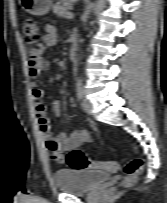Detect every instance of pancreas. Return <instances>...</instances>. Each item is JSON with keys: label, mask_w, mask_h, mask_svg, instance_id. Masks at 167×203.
I'll return each instance as SVG.
<instances>
[{"label": "pancreas", "mask_w": 167, "mask_h": 203, "mask_svg": "<svg viewBox=\"0 0 167 203\" xmlns=\"http://www.w3.org/2000/svg\"><path fill=\"white\" fill-rule=\"evenodd\" d=\"M78 0H61L53 6V12L59 17H66L69 10L73 9V4Z\"/></svg>", "instance_id": "1"}]
</instances>
